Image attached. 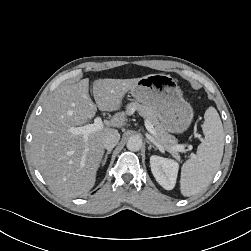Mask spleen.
<instances>
[{
  "label": "spleen",
  "mask_w": 251,
  "mask_h": 251,
  "mask_svg": "<svg viewBox=\"0 0 251 251\" xmlns=\"http://www.w3.org/2000/svg\"><path fill=\"white\" fill-rule=\"evenodd\" d=\"M204 140L195 156L188 159L181 168L180 190L183 196L202 192L219 169L224 149V130L217 110L209 107L202 125Z\"/></svg>",
  "instance_id": "obj_1"
}]
</instances>
